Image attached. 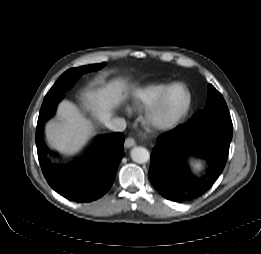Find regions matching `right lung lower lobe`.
Instances as JSON below:
<instances>
[{
    "mask_svg": "<svg viewBox=\"0 0 261 254\" xmlns=\"http://www.w3.org/2000/svg\"><path fill=\"white\" fill-rule=\"evenodd\" d=\"M63 94L44 99L37 128L36 145L42 172L48 184L63 197L90 202L103 196L112 186L123 157L124 136L114 133L98 137L84 156L69 165H55L46 159L49 152L43 138L44 122L54 113Z\"/></svg>",
    "mask_w": 261,
    "mask_h": 254,
    "instance_id": "98d812e1",
    "label": "right lung lower lobe"
}]
</instances>
